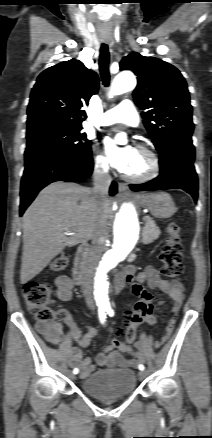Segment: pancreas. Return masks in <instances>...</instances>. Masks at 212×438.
<instances>
[{"label":"pancreas","mask_w":212,"mask_h":438,"mask_svg":"<svg viewBox=\"0 0 212 438\" xmlns=\"http://www.w3.org/2000/svg\"><path fill=\"white\" fill-rule=\"evenodd\" d=\"M144 220L145 225L142 229V242L144 244H150L159 237L161 231L152 218L145 217Z\"/></svg>","instance_id":"1"}]
</instances>
